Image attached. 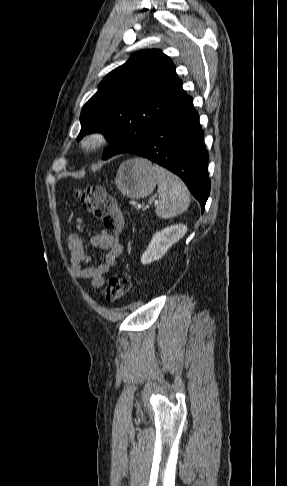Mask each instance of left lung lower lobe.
Here are the masks:
<instances>
[{"label":"left lung lower lobe","instance_id":"left-lung-lower-lobe-1","mask_svg":"<svg viewBox=\"0 0 287 486\" xmlns=\"http://www.w3.org/2000/svg\"><path fill=\"white\" fill-rule=\"evenodd\" d=\"M129 153L145 157L180 176L204 209L210 192L208 152L192 97L185 93Z\"/></svg>","mask_w":287,"mask_h":486}]
</instances>
